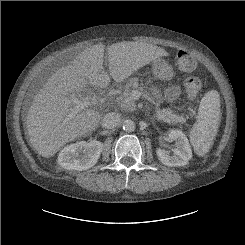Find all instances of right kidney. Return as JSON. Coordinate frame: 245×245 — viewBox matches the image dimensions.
I'll return each instance as SVG.
<instances>
[{
  "instance_id": "ca27d5eb",
  "label": "right kidney",
  "mask_w": 245,
  "mask_h": 245,
  "mask_svg": "<svg viewBox=\"0 0 245 245\" xmlns=\"http://www.w3.org/2000/svg\"><path fill=\"white\" fill-rule=\"evenodd\" d=\"M102 149L103 143L100 141H80L63 148L57 162L66 170H87L97 163Z\"/></svg>"
}]
</instances>
